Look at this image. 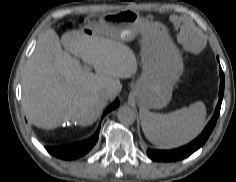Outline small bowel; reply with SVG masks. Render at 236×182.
Returning a JSON list of instances; mask_svg holds the SVG:
<instances>
[{
	"instance_id": "obj_1",
	"label": "small bowel",
	"mask_w": 236,
	"mask_h": 182,
	"mask_svg": "<svg viewBox=\"0 0 236 182\" xmlns=\"http://www.w3.org/2000/svg\"><path fill=\"white\" fill-rule=\"evenodd\" d=\"M174 22H175L177 25L180 24V21H179L178 19H176ZM180 39H181L182 42L185 41V38H184L182 35L180 36ZM188 47H189V49H192V45H188Z\"/></svg>"
}]
</instances>
